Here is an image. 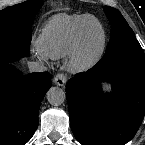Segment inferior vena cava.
Returning a JSON list of instances; mask_svg holds the SVG:
<instances>
[{
  "mask_svg": "<svg viewBox=\"0 0 145 145\" xmlns=\"http://www.w3.org/2000/svg\"><path fill=\"white\" fill-rule=\"evenodd\" d=\"M28 68L30 72H43L46 70L44 64L39 61L28 62Z\"/></svg>",
  "mask_w": 145,
  "mask_h": 145,
  "instance_id": "obj_1",
  "label": "inferior vena cava"
}]
</instances>
